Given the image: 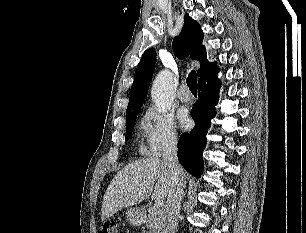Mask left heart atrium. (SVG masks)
Returning <instances> with one entry per match:
<instances>
[{"instance_id": "39dd6f15", "label": "left heart atrium", "mask_w": 306, "mask_h": 233, "mask_svg": "<svg viewBox=\"0 0 306 233\" xmlns=\"http://www.w3.org/2000/svg\"><path fill=\"white\" fill-rule=\"evenodd\" d=\"M179 122H180V125L183 129L189 128V126L191 124V120H190L189 116L184 112L179 114Z\"/></svg>"}]
</instances>
